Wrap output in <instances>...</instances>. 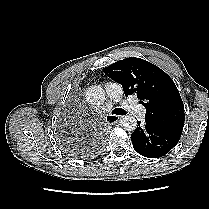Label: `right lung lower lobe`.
I'll return each instance as SVG.
<instances>
[{
	"instance_id": "98d812e1",
	"label": "right lung lower lobe",
	"mask_w": 209,
	"mask_h": 209,
	"mask_svg": "<svg viewBox=\"0 0 209 209\" xmlns=\"http://www.w3.org/2000/svg\"><path fill=\"white\" fill-rule=\"evenodd\" d=\"M94 140L97 141V144H101L102 143V136L100 134H97L94 138ZM94 149V146L90 147V146H85L84 147V151L89 152L92 151ZM76 151V150H74ZM77 152V151H76Z\"/></svg>"
}]
</instances>
